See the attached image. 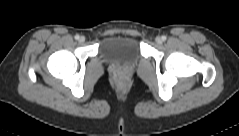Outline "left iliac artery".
<instances>
[{
    "mask_svg": "<svg viewBox=\"0 0 239 136\" xmlns=\"http://www.w3.org/2000/svg\"><path fill=\"white\" fill-rule=\"evenodd\" d=\"M161 38L163 41H165L167 39L166 36H164V35Z\"/></svg>",
    "mask_w": 239,
    "mask_h": 136,
    "instance_id": "1",
    "label": "left iliac artery"
}]
</instances>
